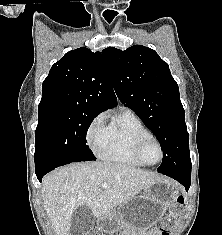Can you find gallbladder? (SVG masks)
<instances>
[{
	"label": "gallbladder",
	"mask_w": 222,
	"mask_h": 235,
	"mask_svg": "<svg viewBox=\"0 0 222 235\" xmlns=\"http://www.w3.org/2000/svg\"><path fill=\"white\" fill-rule=\"evenodd\" d=\"M94 223V217L87 206H79L71 217L70 235H87Z\"/></svg>",
	"instance_id": "1"
}]
</instances>
